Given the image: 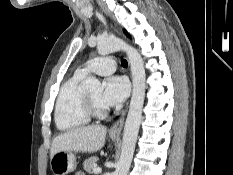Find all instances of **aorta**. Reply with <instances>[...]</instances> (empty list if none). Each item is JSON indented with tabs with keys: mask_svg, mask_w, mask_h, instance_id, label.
<instances>
[{
	"mask_svg": "<svg viewBox=\"0 0 233 175\" xmlns=\"http://www.w3.org/2000/svg\"><path fill=\"white\" fill-rule=\"evenodd\" d=\"M97 50L100 55L123 50L126 52L132 73L133 91L129 111L126 118L122 151L116 170L113 175H127L130 168L139 127L142 118V109L145 98V69L139 52L119 38H107L98 41ZM85 88L90 91L101 90V83L95 77H88L84 81Z\"/></svg>",
	"mask_w": 233,
	"mask_h": 175,
	"instance_id": "obj_1",
	"label": "aorta"
}]
</instances>
